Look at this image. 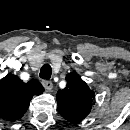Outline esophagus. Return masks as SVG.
I'll list each match as a JSON object with an SVG mask.
<instances>
[{"mask_svg": "<svg viewBox=\"0 0 130 130\" xmlns=\"http://www.w3.org/2000/svg\"><path fill=\"white\" fill-rule=\"evenodd\" d=\"M42 85L44 86V88L46 90H51L53 88V83L51 81H48V80H43Z\"/></svg>", "mask_w": 130, "mask_h": 130, "instance_id": "obj_1", "label": "esophagus"}]
</instances>
